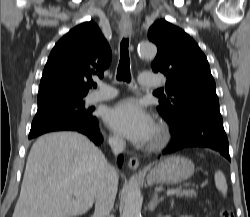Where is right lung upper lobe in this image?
I'll list each match as a JSON object with an SVG mask.
<instances>
[{
    "label": "right lung upper lobe",
    "instance_id": "obj_1",
    "mask_svg": "<svg viewBox=\"0 0 250 217\" xmlns=\"http://www.w3.org/2000/svg\"><path fill=\"white\" fill-rule=\"evenodd\" d=\"M111 62V49L94 22L69 31L52 49L40 81L38 108L83 99L92 76H103Z\"/></svg>",
    "mask_w": 250,
    "mask_h": 217
}]
</instances>
